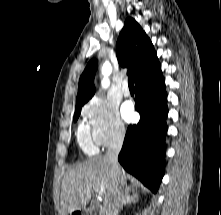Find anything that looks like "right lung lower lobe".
<instances>
[{
  "instance_id": "1",
  "label": "right lung lower lobe",
  "mask_w": 221,
  "mask_h": 215,
  "mask_svg": "<svg viewBox=\"0 0 221 215\" xmlns=\"http://www.w3.org/2000/svg\"><path fill=\"white\" fill-rule=\"evenodd\" d=\"M137 125L127 128L118 161L156 193L164 175L167 94L161 70L136 84Z\"/></svg>"
}]
</instances>
